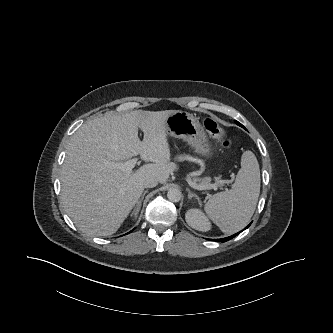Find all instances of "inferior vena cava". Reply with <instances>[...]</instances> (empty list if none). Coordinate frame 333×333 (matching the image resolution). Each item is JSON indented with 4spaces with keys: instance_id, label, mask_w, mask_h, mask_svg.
I'll use <instances>...</instances> for the list:
<instances>
[{
    "instance_id": "602c4592",
    "label": "inferior vena cava",
    "mask_w": 333,
    "mask_h": 333,
    "mask_svg": "<svg viewBox=\"0 0 333 333\" xmlns=\"http://www.w3.org/2000/svg\"><path fill=\"white\" fill-rule=\"evenodd\" d=\"M158 184V180L156 178H148L144 182V187L153 188Z\"/></svg>"
}]
</instances>
